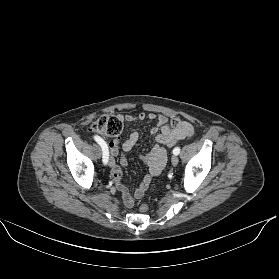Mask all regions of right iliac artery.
Listing matches in <instances>:
<instances>
[{
  "instance_id": "1",
  "label": "right iliac artery",
  "mask_w": 279,
  "mask_h": 279,
  "mask_svg": "<svg viewBox=\"0 0 279 279\" xmlns=\"http://www.w3.org/2000/svg\"><path fill=\"white\" fill-rule=\"evenodd\" d=\"M94 140L101 146L103 151V163L107 164L109 158V150L106 142L99 136H94Z\"/></svg>"
}]
</instances>
